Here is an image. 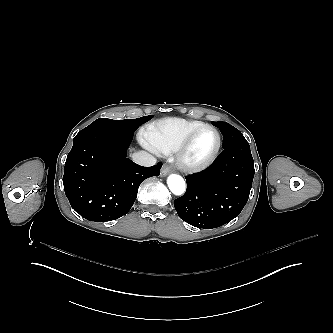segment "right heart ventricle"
I'll use <instances>...</instances> for the list:
<instances>
[{"label":"right heart ventricle","instance_id":"e07e8e85","mask_svg":"<svg viewBox=\"0 0 333 333\" xmlns=\"http://www.w3.org/2000/svg\"><path fill=\"white\" fill-rule=\"evenodd\" d=\"M203 124L201 120L168 118L142 128L139 142L157 154L171 155L188 132Z\"/></svg>","mask_w":333,"mask_h":333}]
</instances>
